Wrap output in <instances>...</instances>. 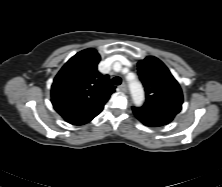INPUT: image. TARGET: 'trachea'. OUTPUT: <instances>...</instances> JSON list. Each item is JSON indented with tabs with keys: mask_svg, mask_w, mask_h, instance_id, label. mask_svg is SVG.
Returning a JSON list of instances; mask_svg holds the SVG:
<instances>
[{
	"mask_svg": "<svg viewBox=\"0 0 222 187\" xmlns=\"http://www.w3.org/2000/svg\"><path fill=\"white\" fill-rule=\"evenodd\" d=\"M121 82H122V80H121L120 77H114V78L112 79V83H113L114 85H120Z\"/></svg>",
	"mask_w": 222,
	"mask_h": 187,
	"instance_id": "1",
	"label": "trachea"
}]
</instances>
